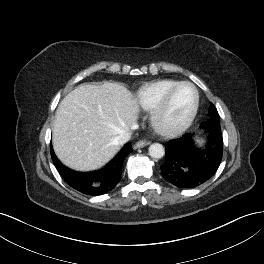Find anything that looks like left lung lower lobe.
Listing matches in <instances>:
<instances>
[{
  "mask_svg": "<svg viewBox=\"0 0 264 264\" xmlns=\"http://www.w3.org/2000/svg\"><path fill=\"white\" fill-rule=\"evenodd\" d=\"M206 140L195 143L186 133L166 143V160L161 166L163 176L180 188H194L209 180L217 171L223 155L221 129L201 125Z\"/></svg>",
  "mask_w": 264,
  "mask_h": 264,
  "instance_id": "obj_1",
  "label": "left lung lower lobe"
}]
</instances>
